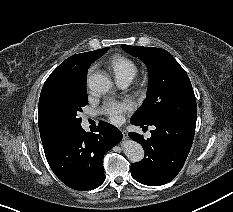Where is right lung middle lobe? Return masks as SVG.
<instances>
[{
	"label": "right lung middle lobe",
	"instance_id": "dd1d6c3e",
	"mask_svg": "<svg viewBox=\"0 0 233 212\" xmlns=\"http://www.w3.org/2000/svg\"><path fill=\"white\" fill-rule=\"evenodd\" d=\"M108 49H102L100 56ZM87 103L85 76L50 85L41 91L39 126L51 137L61 139L70 131L81 127L78 114Z\"/></svg>",
	"mask_w": 233,
	"mask_h": 212
}]
</instances>
